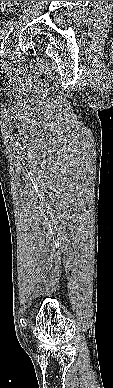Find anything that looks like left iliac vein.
<instances>
[{"mask_svg":"<svg viewBox=\"0 0 113 388\" xmlns=\"http://www.w3.org/2000/svg\"><path fill=\"white\" fill-rule=\"evenodd\" d=\"M11 38L7 39V41L4 43V46L1 50V56L2 57H7L9 52H10V46H11Z\"/></svg>","mask_w":113,"mask_h":388,"instance_id":"1","label":"left iliac vein"}]
</instances>
